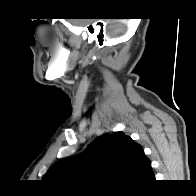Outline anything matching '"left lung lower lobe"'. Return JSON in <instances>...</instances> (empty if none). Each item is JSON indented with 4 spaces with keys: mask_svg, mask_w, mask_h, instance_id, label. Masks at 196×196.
<instances>
[{
    "mask_svg": "<svg viewBox=\"0 0 196 196\" xmlns=\"http://www.w3.org/2000/svg\"><path fill=\"white\" fill-rule=\"evenodd\" d=\"M155 180V176L152 172L151 162H147L141 173L138 176V179L136 181V184H146V183H152Z\"/></svg>",
    "mask_w": 196,
    "mask_h": 196,
    "instance_id": "1",
    "label": "left lung lower lobe"
}]
</instances>
